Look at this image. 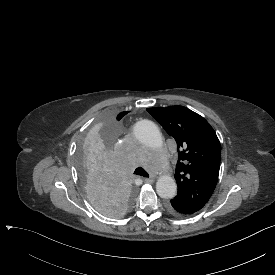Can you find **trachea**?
<instances>
[{"label": "trachea", "instance_id": "obj_1", "mask_svg": "<svg viewBox=\"0 0 275 275\" xmlns=\"http://www.w3.org/2000/svg\"><path fill=\"white\" fill-rule=\"evenodd\" d=\"M135 175H140L143 177H149V174L141 167H138L135 171H134Z\"/></svg>", "mask_w": 275, "mask_h": 275}]
</instances>
